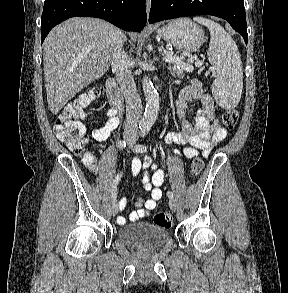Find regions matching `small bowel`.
<instances>
[{"mask_svg": "<svg viewBox=\"0 0 288 293\" xmlns=\"http://www.w3.org/2000/svg\"><path fill=\"white\" fill-rule=\"evenodd\" d=\"M199 99L202 108L196 113L194 124L190 123L185 118V109L188 100ZM177 113L180 118L181 128L178 132H171L167 135L166 141L168 144L185 145L182 152L173 150V153L178 156H183L188 159L195 158L202 151L204 156L219 145L227 136V130L215 117L214 102L212 97L203 92L201 83L197 80L189 82L180 92L176 101ZM116 111L111 109L109 119L99 128L92 131V137L96 141H105L109 138L112 131L118 125ZM131 171L134 176L141 175V182L144 189L149 192L150 198H138L135 202L137 210L129 215V220L136 222L149 215V212L154 210L158 201L163 196L161 189L165 175L163 170L151 164L147 158L142 161L139 158L133 159L131 163ZM120 207L124 209L127 205L125 197L120 200ZM119 224H125L126 219L123 216L117 218Z\"/></svg>", "mask_w": 288, "mask_h": 293, "instance_id": "small-bowel-1", "label": "small bowel"}]
</instances>
